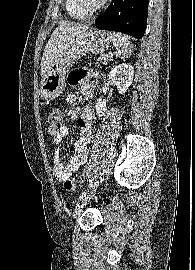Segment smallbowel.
<instances>
[{
  "instance_id": "c3829d8e",
  "label": "small bowel",
  "mask_w": 195,
  "mask_h": 270,
  "mask_svg": "<svg viewBox=\"0 0 195 270\" xmlns=\"http://www.w3.org/2000/svg\"><path fill=\"white\" fill-rule=\"evenodd\" d=\"M68 81L71 85H80V91L83 95L90 97L93 88L97 82L95 73L84 70H73ZM76 101L74 94H67L65 103L72 105ZM71 118L76 120L77 127L80 131L79 138L74 145V153L67 162H63L61 156L56 152L53 156V175L59 181L69 179L78 168L87 161V146L93 141L92 123L95 119V114L91 106L85 105L81 109H74L70 113ZM48 133L53 138L54 144H59L69 134L67 125L61 124L49 125Z\"/></svg>"
}]
</instances>
